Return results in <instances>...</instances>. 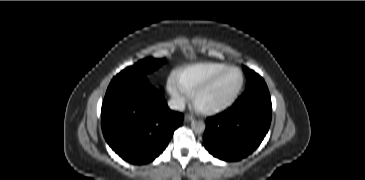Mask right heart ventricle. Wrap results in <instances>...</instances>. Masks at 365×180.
<instances>
[{
    "mask_svg": "<svg viewBox=\"0 0 365 180\" xmlns=\"http://www.w3.org/2000/svg\"><path fill=\"white\" fill-rule=\"evenodd\" d=\"M229 66L226 63L220 62H203L192 64L184 68L179 69L176 72V77L179 84L184 91L191 95V93L208 78L217 73L218 71Z\"/></svg>",
    "mask_w": 365,
    "mask_h": 180,
    "instance_id": "1",
    "label": "right heart ventricle"
}]
</instances>
